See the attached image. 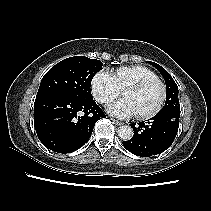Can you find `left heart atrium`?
I'll return each mask as SVG.
<instances>
[{"label":"left heart atrium","instance_id":"left-heart-atrium-1","mask_svg":"<svg viewBox=\"0 0 211 211\" xmlns=\"http://www.w3.org/2000/svg\"><path fill=\"white\" fill-rule=\"evenodd\" d=\"M107 111L111 115L119 118H129L136 115L135 107L133 106L132 102L127 98L120 99L110 104L107 108Z\"/></svg>","mask_w":211,"mask_h":211}]
</instances>
